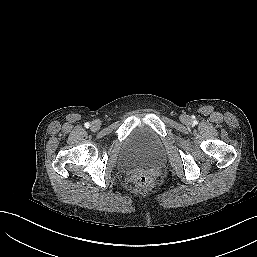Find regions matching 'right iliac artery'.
<instances>
[{
    "mask_svg": "<svg viewBox=\"0 0 257 257\" xmlns=\"http://www.w3.org/2000/svg\"><path fill=\"white\" fill-rule=\"evenodd\" d=\"M85 127L86 128H89L90 127V124L87 122V123H85Z\"/></svg>",
    "mask_w": 257,
    "mask_h": 257,
    "instance_id": "1",
    "label": "right iliac artery"
}]
</instances>
